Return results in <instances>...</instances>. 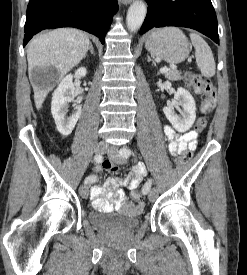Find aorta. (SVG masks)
Here are the masks:
<instances>
[{"label":"aorta","instance_id":"obj_1","mask_svg":"<svg viewBox=\"0 0 247 275\" xmlns=\"http://www.w3.org/2000/svg\"><path fill=\"white\" fill-rule=\"evenodd\" d=\"M147 12L146 4L142 0H136L128 9L127 27L131 32H137L141 27Z\"/></svg>","mask_w":247,"mask_h":275}]
</instances>
